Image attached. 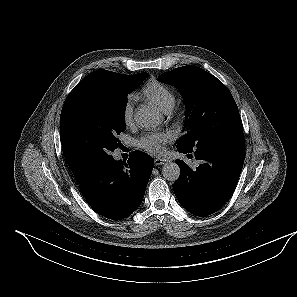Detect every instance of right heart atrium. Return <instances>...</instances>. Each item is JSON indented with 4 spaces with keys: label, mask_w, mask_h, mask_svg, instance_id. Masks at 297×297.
Wrapping results in <instances>:
<instances>
[{
    "label": "right heart atrium",
    "mask_w": 297,
    "mask_h": 297,
    "mask_svg": "<svg viewBox=\"0 0 297 297\" xmlns=\"http://www.w3.org/2000/svg\"><path fill=\"white\" fill-rule=\"evenodd\" d=\"M134 97L128 96L122 105V121L124 125L130 126L133 123Z\"/></svg>",
    "instance_id": "1"
}]
</instances>
